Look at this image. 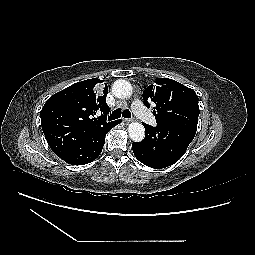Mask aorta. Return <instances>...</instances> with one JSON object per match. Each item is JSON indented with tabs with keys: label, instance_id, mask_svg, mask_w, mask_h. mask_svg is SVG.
I'll return each instance as SVG.
<instances>
[{
	"label": "aorta",
	"instance_id": "obj_1",
	"mask_svg": "<svg viewBox=\"0 0 255 255\" xmlns=\"http://www.w3.org/2000/svg\"><path fill=\"white\" fill-rule=\"evenodd\" d=\"M112 93L117 98H127L132 94V86L126 80H116L112 85ZM129 137L135 141L140 142L145 137L144 126L139 122H132L128 126Z\"/></svg>",
	"mask_w": 255,
	"mask_h": 255
}]
</instances>
